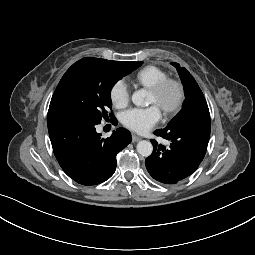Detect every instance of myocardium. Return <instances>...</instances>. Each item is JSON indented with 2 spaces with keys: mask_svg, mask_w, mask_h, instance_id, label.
<instances>
[{
  "mask_svg": "<svg viewBox=\"0 0 255 255\" xmlns=\"http://www.w3.org/2000/svg\"><path fill=\"white\" fill-rule=\"evenodd\" d=\"M169 88H174L176 91V97L173 103L167 106H163L162 110L165 114H173L180 109L185 99V88L181 81L173 78H168L157 85L150 88V92L156 96L163 95Z\"/></svg>",
  "mask_w": 255,
  "mask_h": 255,
  "instance_id": "1",
  "label": "myocardium"
}]
</instances>
